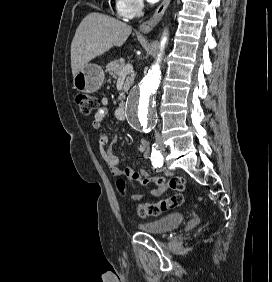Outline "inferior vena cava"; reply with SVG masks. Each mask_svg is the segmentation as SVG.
<instances>
[{
    "label": "inferior vena cava",
    "mask_w": 272,
    "mask_h": 282,
    "mask_svg": "<svg viewBox=\"0 0 272 282\" xmlns=\"http://www.w3.org/2000/svg\"><path fill=\"white\" fill-rule=\"evenodd\" d=\"M155 138L156 140H159L161 138L160 134L157 131H155Z\"/></svg>",
    "instance_id": "obj_1"
}]
</instances>
